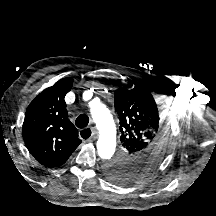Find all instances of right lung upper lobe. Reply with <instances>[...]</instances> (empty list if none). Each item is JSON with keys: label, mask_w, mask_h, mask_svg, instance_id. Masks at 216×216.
I'll list each match as a JSON object with an SVG mask.
<instances>
[{"label": "right lung upper lobe", "mask_w": 216, "mask_h": 216, "mask_svg": "<svg viewBox=\"0 0 216 216\" xmlns=\"http://www.w3.org/2000/svg\"><path fill=\"white\" fill-rule=\"evenodd\" d=\"M73 78L59 80L42 91L28 106L23 138L29 152L44 166L59 167L81 143L78 131L68 119L65 95Z\"/></svg>", "instance_id": "cb5924a9"}]
</instances>
